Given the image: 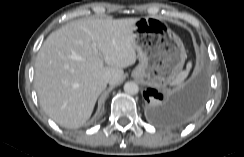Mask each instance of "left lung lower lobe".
<instances>
[{"label":"left lung lower lobe","mask_w":244,"mask_h":157,"mask_svg":"<svg viewBox=\"0 0 244 157\" xmlns=\"http://www.w3.org/2000/svg\"><path fill=\"white\" fill-rule=\"evenodd\" d=\"M206 95V78L204 74L197 76L183 87L172 99L165 105L161 103L163 95L155 89H147L144 97L154 108V114L157 120L164 124H184L202 107Z\"/></svg>","instance_id":"left-lung-lower-lobe-1"}]
</instances>
